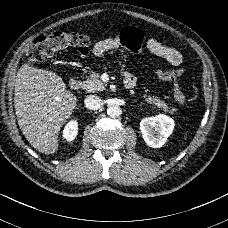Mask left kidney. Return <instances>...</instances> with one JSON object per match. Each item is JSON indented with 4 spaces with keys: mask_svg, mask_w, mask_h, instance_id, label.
I'll list each match as a JSON object with an SVG mask.
<instances>
[{
    "mask_svg": "<svg viewBox=\"0 0 228 228\" xmlns=\"http://www.w3.org/2000/svg\"><path fill=\"white\" fill-rule=\"evenodd\" d=\"M174 121L167 116L145 118L140 122V130L149 147L160 148L172 133Z\"/></svg>",
    "mask_w": 228,
    "mask_h": 228,
    "instance_id": "5707ae66",
    "label": "left kidney"
}]
</instances>
